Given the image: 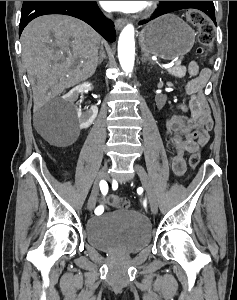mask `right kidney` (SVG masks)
<instances>
[{"label": "right kidney", "mask_w": 237, "mask_h": 300, "mask_svg": "<svg viewBox=\"0 0 237 300\" xmlns=\"http://www.w3.org/2000/svg\"><path fill=\"white\" fill-rule=\"evenodd\" d=\"M86 89H93L91 83H83V85H77V87H74V89H71L69 93L66 95L67 101L69 103H74L77 111V119L79 121V127L80 129H88L90 125H92L93 121H95L97 115H98V107H90V109H86V111H81V109H78L77 105L79 103H75L77 101L80 93H84Z\"/></svg>", "instance_id": "1"}]
</instances>
